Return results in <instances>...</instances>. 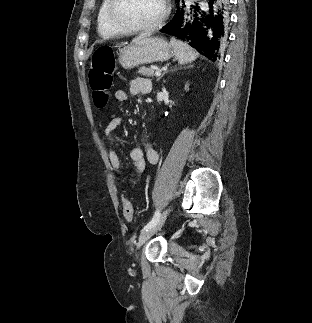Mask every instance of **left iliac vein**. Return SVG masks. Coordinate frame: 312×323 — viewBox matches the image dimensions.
I'll return each mask as SVG.
<instances>
[{
	"label": "left iliac vein",
	"mask_w": 312,
	"mask_h": 323,
	"mask_svg": "<svg viewBox=\"0 0 312 323\" xmlns=\"http://www.w3.org/2000/svg\"><path fill=\"white\" fill-rule=\"evenodd\" d=\"M169 213V209H166L159 221L156 223V225L148 228L147 230H144L140 236H139V240H138V243H137V248H140L154 233H156L157 231H159L161 229V227L163 226L165 220H166V217Z\"/></svg>",
	"instance_id": "obj_1"
}]
</instances>
